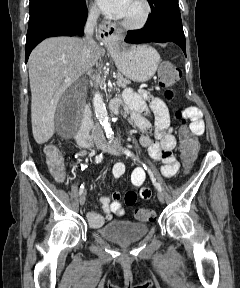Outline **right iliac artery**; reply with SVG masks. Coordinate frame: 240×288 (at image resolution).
I'll use <instances>...</instances> for the list:
<instances>
[{
  "label": "right iliac artery",
  "instance_id": "right-iliac-artery-1",
  "mask_svg": "<svg viewBox=\"0 0 240 288\" xmlns=\"http://www.w3.org/2000/svg\"><path fill=\"white\" fill-rule=\"evenodd\" d=\"M103 158H104V156H103V154L101 153V154H99V155H97V156L95 157V162H96V163H99V162H101V161L103 160ZM84 169H85V166L83 165V166H82V170H84ZM83 192H84V184H82V185L80 186L79 195H82Z\"/></svg>",
  "mask_w": 240,
  "mask_h": 288
}]
</instances>
